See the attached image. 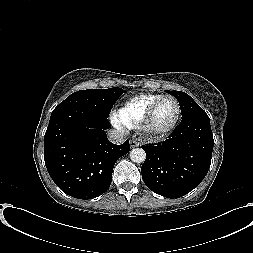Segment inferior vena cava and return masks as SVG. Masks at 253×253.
<instances>
[{"label": "inferior vena cava", "instance_id": "obj_1", "mask_svg": "<svg viewBox=\"0 0 253 253\" xmlns=\"http://www.w3.org/2000/svg\"><path fill=\"white\" fill-rule=\"evenodd\" d=\"M107 136L109 141H111L114 144H121L125 141L124 135L115 129L109 130Z\"/></svg>", "mask_w": 253, "mask_h": 253}]
</instances>
